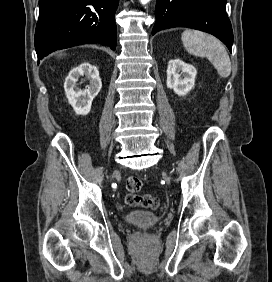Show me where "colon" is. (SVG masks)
<instances>
[{"instance_id":"obj_1","label":"colon","mask_w":272,"mask_h":282,"mask_svg":"<svg viewBox=\"0 0 272 282\" xmlns=\"http://www.w3.org/2000/svg\"><path fill=\"white\" fill-rule=\"evenodd\" d=\"M127 189L132 193L126 197V204L129 206H140L149 210H155L159 207V199L151 194H135L142 188L140 178L131 176L126 181Z\"/></svg>"}]
</instances>
